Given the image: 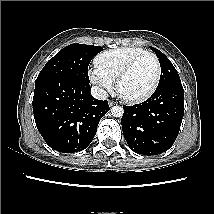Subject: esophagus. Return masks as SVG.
<instances>
[{"label": "esophagus", "instance_id": "1", "mask_svg": "<svg viewBox=\"0 0 214 214\" xmlns=\"http://www.w3.org/2000/svg\"><path fill=\"white\" fill-rule=\"evenodd\" d=\"M116 104V102H114V101H109V106H113V105H115Z\"/></svg>", "mask_w": 214, "mask_h": 214}]
</instances>
